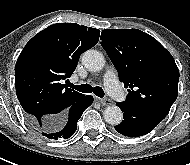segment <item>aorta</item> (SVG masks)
<instances>
[{
	"label": "aorta",
	"instance_id": "1",
	"mask_svg": "<svg viewBox=\"0 0 190 165\" xmlns=\"http://www.w3.org/2000/svg\"><path fill=\"white\" fill-rule=\"evenodd\" d=\"M82 63L89 71H100L105 65L103 54L97 50H87L82 55ZM104 119L111 125H118L123 120V113L116 105L108 106L104 110Z\"/></svg>",
	"mask_w": 190,
	"mask_h": 165
}]
</instances>
